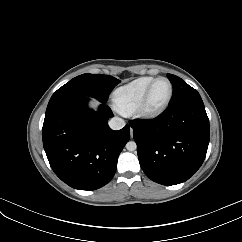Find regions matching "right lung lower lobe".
<instances>
[{"instance_id": "obj_1", "label": "right lung lower lobe", "mask_w": 242, "mask_h": 242, "mask_svg": "<svg viewBox=\"0 0 242 242\" xmlns=\"http://www.w3.org/2000/svg\"><path fill=\"white\" fill-rule=\"evenodd\" d=\"M89 97H73L47 107L43 146L55 174L79 190H96L114 176L118 156L130 139V127L114 131L113 116L101 101L99 111L87 107Z\"/></svg>"}]
</instances>
